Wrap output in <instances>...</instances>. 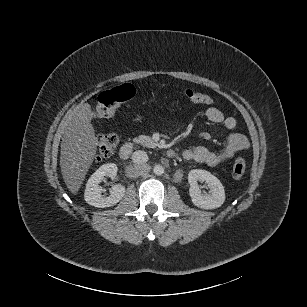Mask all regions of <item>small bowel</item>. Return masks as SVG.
<instances>
[{"instance_id":"obj_1","label":"small bowel","mask_w":307,"mask_h":307,"mask_svg":"<svg viewBox=\"0 0 307 307\" xmlns=\"http://www.w3.org/2000/svg\"><path fill=\"white\" fill-rule=\"evenodd\" d=\"M205 116L210 122L223 125L228 130H234L237 126V121L234 117L225 116L216 107H209L205 112ZM248 147L249 141L246 136L240 133H232L228 137L226 146L220 151H212L205 146H196L185 149L182 152V156L186 160H193L215 167L231 159L235 153L246 150Z\"/></svg>"}]
</instances>
